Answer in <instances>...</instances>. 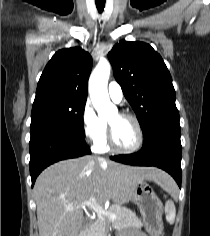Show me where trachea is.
<instances>
[{"mask_svg": "<svg viewBox=\"0 0 210 236\" xmlns=\"http://www.w3.org/2000/svg\"><path fill=\"white\" fill-rule=\"evenodd\" d=\"M96 7L99 13H102L105 7V0H96Z\"/></svg>", "mask_w": 210, "mask_h": 236, "instance_id": "1", "label": "trachea"}]
</instances>
